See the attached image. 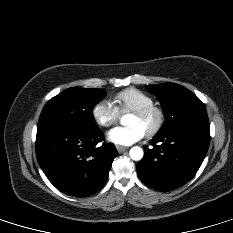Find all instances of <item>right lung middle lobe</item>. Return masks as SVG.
<instances>
[{
  "mask_svg": "<svg viewBox=\"0 0 233 233\" xmlns=\"http://www.w3.org/2000/svg\"><path fill=\"white\" fill-rule=\"evenodd\" d=\"M106 92L94 88L73 87L50 99L44 106L38 125L63 122L86 128H98L93 108Z\"/></svg>",
  "mask_w": 233,
  "mask_h": 233,
  "instance_id": "obj_1",
  "label": "right lung middle lobe"
}]
</instances>
